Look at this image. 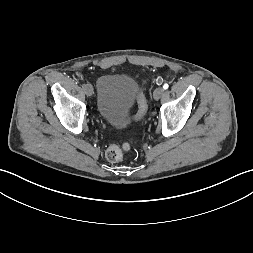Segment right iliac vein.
<instances>
[{
    "label": "right iliac vein",
    "mask_w": 253,
    "mask_h": 253,
    "mask_svg": "<svg viewBox=\"0 0 253 253\" xmlns=\"http://www.w3.org/2000/svg\"><path fill=\"white\" fill-rule=\"evenodd\" d=\"M84 92L87 96H91L93 94V87L91 84H86L84 88Z\"/></svg>",
    "instance_id": "right-iliac-vein-1"
}]
</instances>
